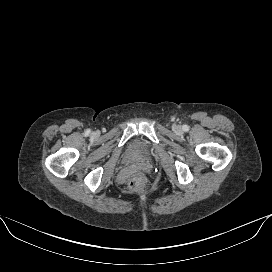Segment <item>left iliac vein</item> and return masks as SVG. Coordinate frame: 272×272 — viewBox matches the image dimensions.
Here are the masks:
<instances>
[{"label": "left iliac vein", "mask_w": 272, "mask_h": 272, "mask_svg": "<svg viewBox=\"0 0 272 272\" xmlns=\"http://www.w3.org/2000/svg\"><path fill=\"white\" fill-rule=\"evenodd\" d=\"M174 130H175L176 132H180V131H181V127L178 126V125H175V126H174Z\"/></svg>", "instance_id": "1"}]
</instances>
